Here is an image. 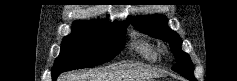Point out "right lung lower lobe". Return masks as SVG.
<instances>
[{"label": "right lung lower lobe", "instance_id": "1", "mask_svg": "<svg viewBox=\"0 0 237 81\" xmlns=\"http://www.w3.org/2000/svg\"><path fill=\"white\" fill-rule=\"evenodd\" d=\"M57 77H58V75H52L53 81H55Z\"/></svg>", "mask_w": 237, "mask_h": 81}]
</instances>
